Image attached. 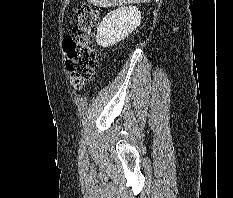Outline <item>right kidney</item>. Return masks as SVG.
<instances>
[{"mask_svg":"<svg viewBox=\"0 0 233 198\" xmlns=\"http://www.w3.org/2000/svg\"><path fill=\"white\" fill-rule=\"evenodd\" d=\"M141 24V12L136 6L121 7L110 11L101 21L96 42L110 47L126 38Z\"/></svg>","mask_w":233,"mask_h":198,"instance_id":"right-kidney-1","label":"right kidney"}]
</instances>
